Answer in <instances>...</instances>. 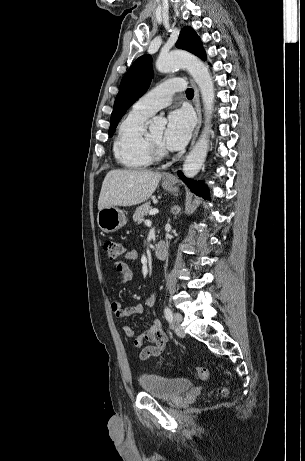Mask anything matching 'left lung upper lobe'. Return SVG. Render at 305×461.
Returning a JSON list of instances; mask_svg holds the SVG:
<instances>
[{"instance_id":"5c2ea615","label":"left lung upper lobe","mask_w":305,"mask_h":461,"mask_svg":"<svg viewBox=\"0 0 305 461\" xmlns=\"http://www.w3.org/2000/svg\"><path fill=\"white\" fill-rule=\"evenodd\" d=\"M176 47L187 50L203 60L206 59L201 40L191 27H184L181 30ZM151 62L150 55H143L132 64L124 75L111 114L110 137L113 136L118 122L130 106L147 91L153 74Z\"/></svg>"}]
</instances>
